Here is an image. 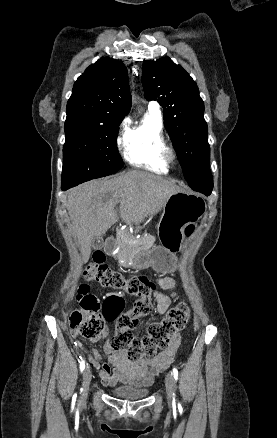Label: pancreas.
Instances as JSON below:
<instances>
[{
	"label": "pancreas",
	"instance_id": "pancreas-1",
	"mask_svg": "<svg viewBox=\"0 0 277 438\" xmlns=\"http://www.w3.org/2000/svg\"><path fill=\"white\" fill-rule=\"evenodd\" d=\"M148 231H120L111 235L110 239H105L104 244H109V253H117L120 267H127L129 261L127 253H145L146 248H151L153 241Z\"/></svg>",
	"mask_w": 277,
	"mask_h": 438
}]
</instances>
